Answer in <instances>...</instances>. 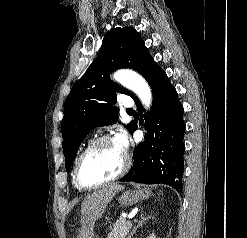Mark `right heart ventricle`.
I'll use <instances>...</instances> for the list:
<instances>
[{
    "label": "right heart ventricle",
    "instance_id": "1",
    "mask_svg": "<svg viewBox=\"0 0 247 238\" xmlns=\"http://www.w3.org/2000/svg\"><path fill=\"white\" fill-rule=\"evenodd\" d=\"M73 182H74V184L76 185V187L79 188V187L77 186V184L75 183L74 175H73Z\"/></svg>",
    "mask_w": 247,
    "mask_h": 238
}]
</instances>
